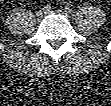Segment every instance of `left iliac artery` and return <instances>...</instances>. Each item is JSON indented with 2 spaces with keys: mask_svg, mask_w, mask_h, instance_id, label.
<instances>
[{
  "mask_svg": "<svg viewBox=\"0 0 111 106\" xmlns=\"http://www.w3.org/2000/svg\"><path fill=\"white\" fill-rule=\"evenodd\" d=\"M64 12L69 14L71 12V8L70 7H65Z\"/></svg>",
  "mask_w": 111,
  "mask_h": 106,
  "instance_id": "44dca946",
  "label": "left iliac artery"
}]
</instances>
